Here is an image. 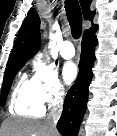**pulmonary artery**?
Wrapping results in <instances>:
<instances>
[{
  "label": "pulmonary artery",
  "mask_w": 117,
  "mask_h": 136,
  "mask_svg": "<svg viewBox=\"0 0 117 136\" xmlns=\"http://www.w3.org/2000/svg\"><path fill=\"white\" fill-rule=\"evenodd\" d=\"M60 54L63 58L69 59L74 57L75 49L70 40H65L60 46Z\"/></svg>",
  "instance_id": "pulmonary-artery-1"
}]
</instances>
